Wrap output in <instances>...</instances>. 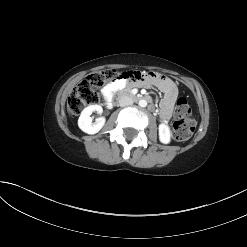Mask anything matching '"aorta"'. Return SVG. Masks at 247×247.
I'll return each instance as SVG.
<instances>
[{
    "label": "aorta",
    "mask_w": 247,
    "mask_h": 247,
    "mask_svg": "<svg viewBox=\"0 0 247 247\" xmlns=\"http://www.w3.org/2000/svg\"><path fill=\"white\" fill-rule=\"evenodd\" d=\"M139 106H140V107H146V106H147V101H146V100H143V99L140 100V101H139Z\"/></svg>",
    "instance_id": "762f6f07"
}]
</instances>
